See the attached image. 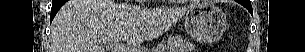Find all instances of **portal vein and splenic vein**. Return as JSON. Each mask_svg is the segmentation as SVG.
<instances>
[{"label": "portal vein and splenic vein", "mask_w": 305, "mask_h": 52, "mask_svg": "<svg viewBox=\"0 0 305 52\" xmlns=\"http://www.w3.org/2000/svg\"><path fill=\"white\" fill-rule=\"evenodd\" d=\"M104 42L108 44L110 49L114 52H138L137 50H129V48L121 46L116 41H104Z\"/></svg>", "instance_id": "18ae733b"}]
</instances>
